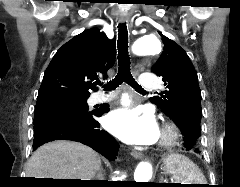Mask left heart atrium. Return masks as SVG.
Wrapping results in <instances>:
<instances>
[{"label": "left heart atrium", "instance_id": "obj_1", "mask_svg": "<svg viewBox=\"0 0 240 187\" xmlns=\"http://www.w3.org/2000/svg\"><path fill=\"white\" fill-rule=\"evenodd\" d=\"M105 126L128 144H152L159 137L158 124L151 113L139 114L135 110L118 109L106 117Z\"/></svg>", "mask_w": 240, "mask_h": 187}]
</instances>
